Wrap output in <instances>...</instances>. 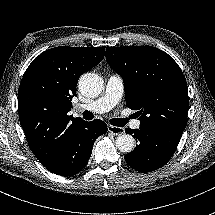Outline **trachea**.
I'll list each match as a JSON object with an SVG mask.
<instances>
[{
  "mask_svg": "<svg viewBox=\"0 0 215 215\" xmlns=\"http://www.w3.org/2000/svg\"><path fill=\"white\" fill-rule=\"evenodd\" d=\"M84 119L86 120H92L94 118V115L92 112L90 111H84L82 113ZM110 123L114 126H119L122 127L127 123L126 119H110Z\"/></svg>",
  "mask_w": 215,
  "mask_h": 215,
  "instance_id": "3493384b",
  "label": "trachea"
}]
</instances>
